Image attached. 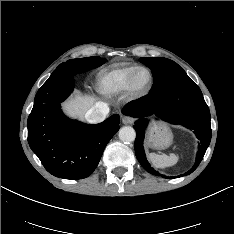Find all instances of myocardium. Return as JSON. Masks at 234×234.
Masks as SVG:
<instances>
[{
	"instance_id": "1",
	"label": "myocardium",
	"mask_w": 234,
	"mask_h": 234,
	"mask_svg": "<svg viewBox=\"0 0 234 234\" xmlns=\"http://www.w3.org/2000/svg\"><path fill=\"white\" fill-rule=\"evenodd\" d=\"M141 71H147L150 76V81L146 89L139 91L135 88V79L139 72ZM154 85V75L152 71L147 67H138L130 76L126 88H125V97L127 100H137L140 99L146 95H148Z\"/></svg>"
}]
</instances>
